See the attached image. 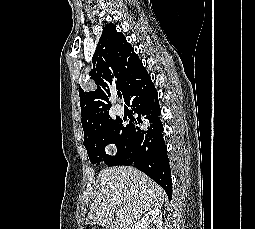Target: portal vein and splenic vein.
<instances>
[{
	"label": "portal vein and splenic vein",
	"instance_id": "18ae733b",
	"mask_svg": "<svg viewBox=\"0 0 255 229\" xmlns=\"http://www.w3.org/2000/svg\"><path fill=\"white\" fill-rule=\"evenodd\" d=\"M124 213L120 210L118 211L117 215L122 216Z\"/></svg>",
	"mask_w": 255,
	"mask_h": 229
}]
</instances>
